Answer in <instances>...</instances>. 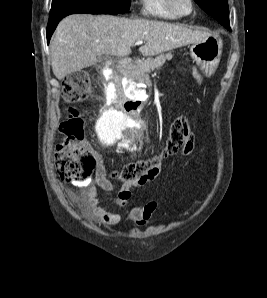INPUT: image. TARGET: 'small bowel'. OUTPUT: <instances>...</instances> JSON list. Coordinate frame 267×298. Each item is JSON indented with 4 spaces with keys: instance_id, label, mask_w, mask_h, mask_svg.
Instances as JSON below:
<instances>
[{
    "instance_id": "obj_1",
    "label": "small bowel",
    "mask_w": 267,
    "mask_h": 298,
    "mask_svg": "<svg viewBox=\"0 0 267 298\" xmlns=\"http://www.w3.org/2000/svg\"><path fill=\"white\" fill-rule=\"evenodd\" d=\"M194 78L199 85L203 84L202 74L194 69ZM162 171V166L159 165L155 173L147 179L140 180L133 183H125L118 193L116 203L127 209V217L137 226H144L148 224L158 208L157 201H150L143 206H130L131 188L140 187L147 182L155 179ZM96 185L104 191L112 189L111 182L106 177V170L103 162L100 160L95 173ZM69 197L80 208L83 215L94 222H101L106 225H116L121 221V216L118 213L106 211L98 203L97 187L93 184L87 186L85 194L79 195L75 192L69 191Z\"/></svg>"
}]
</instances>
